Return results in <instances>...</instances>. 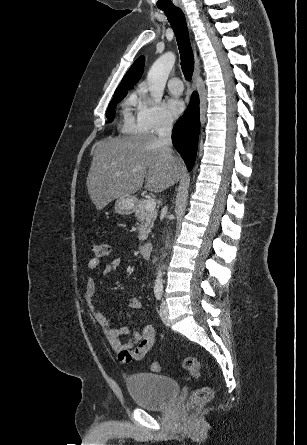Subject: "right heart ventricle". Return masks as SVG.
<instances>
[{"label":"right heart ventricle","mask_w":307,"mask_h":445,"mask_svg":"<svg viewBox=\"0 0 307 445\" xmlns=\"http://www.w3.org/2000/svg\"><path fill=\"white\" fill-rule=\"evenodd\" d=\"M122 105L124 106H133L135 111L138 113L141 108V103L139 101L138 96L131 92L129 93L122 101ZM123 125L121 127L122 132H133L139 128L137 123L134 120L132 113L129 110H124L123 112Z\"/></svg>","instance_id":"obj_1"}]
</instances>
